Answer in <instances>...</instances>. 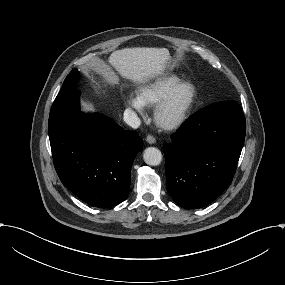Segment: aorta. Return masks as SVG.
Here are the masks:
<instances>
[{
	"mask_svg": "<svg viewBox=\"0 0 285 285\" xmlns=\"http://www.w3.org/2000/svg\"><path fill=\"white\" fill-rule=\"evenodd\" d=\"M144 162L150 166H157L162 161V153L155 147H148L143 154Z\"/></svg>",
	"mask_w": 285,
	"mask_h": 285,
	"instance_id": "762f6f07",
	"label": "aorta"
}]
</instances>
